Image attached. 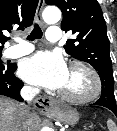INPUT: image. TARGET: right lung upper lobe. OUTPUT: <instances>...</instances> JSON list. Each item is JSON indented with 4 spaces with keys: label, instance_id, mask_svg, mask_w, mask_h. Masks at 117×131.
Instances as JSON below:
<instances>
[{
    "label": "right lung upper lobe",
    "instance_id": "right-lung-upper-lobe-1",
    "mask_svg": "<svg viewBox=\"0 0 117 131\" xmlns=\"http://www.w3.org/2000/svg\"><path fill=\"white\" fill-rule=\"evenodd\" d=\"M37 5L38 0H0V52L7 40L3 32L32 25Z\"/></svg>",
    "mask_w": 117,
    "mask_h": 131
}]
</instances>
